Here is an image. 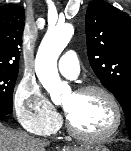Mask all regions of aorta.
<instances>
[{
	"label": "aorta",
	"instance_id": "1",
	"mask_svg": "<svg viewBox=\"0 0 131 151\" xmlns=\"http://www.w3.org/2000/svg\"><path fill=\"white\" fill-rule=\"evenodd\" d=\"M72 35L73 27L70 24L57 25L49 29L36 55V74L53 100L61 95L63 88L57 70V60Z\"/></svg>",
	"mask_w": 131,
	"mask_h": 151
}]
</instances>
